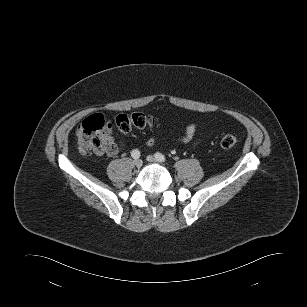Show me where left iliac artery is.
<instances>
[{
	"label": "left iliac artery",
	"instance_id": "44dca946",
	"mask_svg": "<svg viewBox=\"0 0 307 307\" xmlns=\"http://www.w3.org/2000/svg\"><path fill=\"white\" fill-rule=\"evenodd\" d=\"M154 156L160 162H165L166 161L165 156L163 154L159 153V152L155 153Z\"/></svg>",
	"mask_w": 307,
	"mask_h": 307
}]
</instances>
